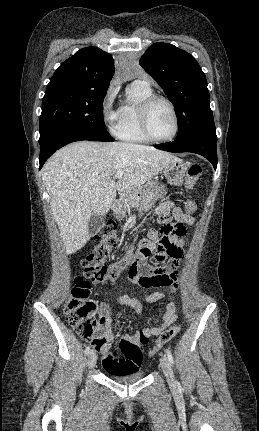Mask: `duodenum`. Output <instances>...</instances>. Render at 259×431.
<instances>
[{"instance_id":"obj_1","label":"duodenum","mask_w":259,"mask_h":431,"mask_svg":"<svg viewBox=\"0 0 259 431\" xmlns=\"http://www.w3.org/2000/svg\"><path fill=\"white\" fill-rule=\"evenodd\" d=\"M121 206H122L121 201L116 200V201H114V203L112 205V210L113 211H118V210H120Z\"/></svg>"}]
</instances>
